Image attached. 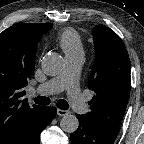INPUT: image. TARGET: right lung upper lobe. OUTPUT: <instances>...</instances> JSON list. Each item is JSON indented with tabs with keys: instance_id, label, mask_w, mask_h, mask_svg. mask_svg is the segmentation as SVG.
<instances>
[{
	"instance_id": "cb5924a9",
	"label": "right lung upper lobe",
	"mask_w": 144,
	"mask_h": 144,
	"mask_svg": "<svg viewBox=\"0 0 144 144\" xmlns=\"http://www.w3.org/2000/svg\"><path fill=\"white\" fill-rule=\"evenodd\" d=\"M52 23H18L0 34V144L13 143L41 106H29L23 88L34 72L37 45Z\"/></svg>"
}]
</instances>
